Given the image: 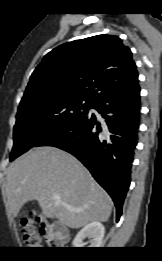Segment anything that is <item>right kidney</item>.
Segmentation results:
<instances>
[{
	"instance_id": "obj_1",
	"label": "right kidney",
	"mask_w": 162,
	"mask_h": 261,
	"mask_svg": "<svg viewBox=\"0 0 162 261\" xmlns=\"http://www.w3.org/2000/svg\"><path fill=\"white\" fill-rule=\"evenodd\" d=\"M105 234L104 226L98 222H92L86 225L84 228L78 232L76 235L73 246H81L84 238L88 237L90 239V248H99L102 244V240Z\"/></svg>"
}]
</instances>
